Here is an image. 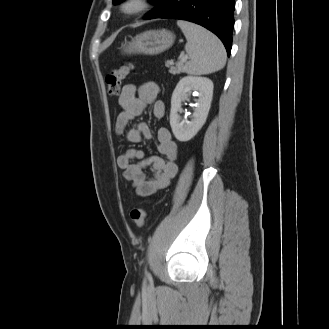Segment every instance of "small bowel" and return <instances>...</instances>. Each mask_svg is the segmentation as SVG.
Listing matches in <instances>:
<instances>
[{
	"instance_id": "obj_1",
	"label": "small bowel",
	"mask_w": 329,
	"mask_h": 329,
	"mask_svg": "<svg viewBox=\"0 0 329 329\" xmlns=\"http://www.w3.org/2000/svg\"><path fill=\"white\" fill-rule=\"evenodd\" d=\"M159 94L160 87L153 81L139 85H124L118 99L122 112L116 119V135L125 134L127 141L132 144L150 139L152 133L145 122L132 127H129V124L140 117L148 106H151V114L154 118H164L166 107L158 99ZM157 142L161 156L146 157L143 150L130 148L117 158V165L123 171L124 179L132 184L138 196L146 197L155 194L159 189L167 186L177 173L178 146L168 128L161 126L157 129Z\"/></svg>"
}]
</instances>
